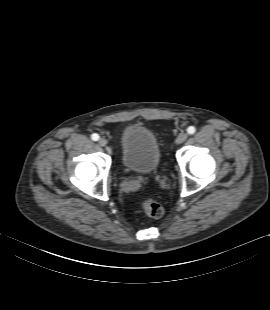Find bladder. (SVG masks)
Instances as JSON below:
<instances>
[{
    "label": "bladder",
    "instance_id": "1",
    "mask_svg": "<svg viewBox=\"0 0 270 310\" xmlns=\"http://www.w3.org/2000/svg\"><path fill=\"white\" fill-rule=\"evenodd\" d=\"M122 165L138 173H152L161 162V149L156 135L147 127L129 125L121 134Z\"/></svg>",
    "mask_w": 270,
    "mask_h": 310
}]
</instances>
